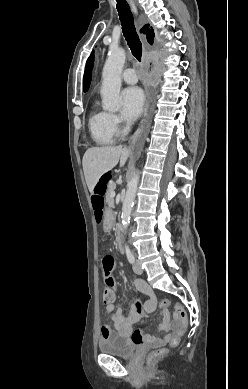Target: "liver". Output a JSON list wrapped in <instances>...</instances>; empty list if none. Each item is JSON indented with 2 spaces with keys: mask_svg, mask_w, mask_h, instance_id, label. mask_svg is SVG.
<instances>
[{
  "mask_svg": "<svg viewBox=\"0 0 248 389\" xmlns=\"http://www.w3.org/2000/svg\"><path fill=\"white\" fill-rule=\"evenodd\" d=\"M130 150L121 146H103L89 148L82 160L85 180L89 191L94 192V187L100 177L113 169L120 161V166H124Z\"/></svg>",
  "mask_w": 248,
  "mask_h": 389,
  "instance_id": "6515ba94",
  "label": "liver"
}]
</instances>
